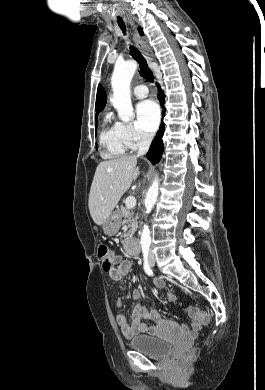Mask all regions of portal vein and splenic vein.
<instances>
[{
	"label": "portal vein and splenic vein",
	"mask_w": 265,
	"mask_h": 390,
	"mask_svg": "<svg viewBox=\"0 0 265 390\" xmlns=\"http://www.w3.org/2000/svg\"><path fill=\"white\" fill-rule=\"evenodd\" d=\"M125 205L127 208H133L136 205V199L134 196H129L125 200Z\"/></svg>",
	"instance_id": "obj_1"
}]
</instances>
